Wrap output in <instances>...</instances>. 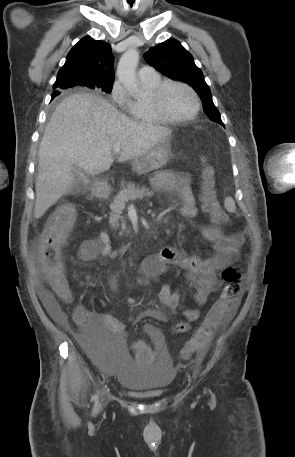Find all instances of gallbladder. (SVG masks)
<instances>
[{
	"mask_svg": "<svg viewBox=\"0 0 295 457\" xmlns=\"http://www.w3.org/2000/svg\"><path fill=\"white\" fill-rule=\"evenodd\" d=\"M72 171H73L76 175H78V173H79V171H80V168L77 167V166H74V167L72 168ZM77 182H78V181H77Z\"/></svg>",
	"mask_w": 295,
	"mask_h": 457,
	"instance_id": "1",
	"label": "gallbladder"
}]
</instances>
